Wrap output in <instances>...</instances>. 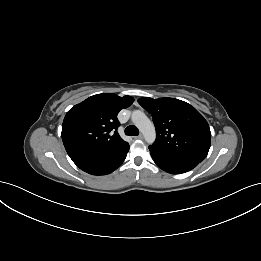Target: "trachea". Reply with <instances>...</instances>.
Listing matches in <instances>:
<instances>
[{"label": "trachea", "mask_w": 261, "mask_h": 261, "mask_svg": "<svg viewBox=\"0 0 261 261\" xmlns=\"http://www.w3.org/2000/svg\"><path fill=\"white\" fill-rule=\"evenodd\" d=\"M125 134L130 136H137L139 134V130L137 129V127L130 125L126 127Z\"/></svg>", "instance_id": "obj_1"}]
</instances>
